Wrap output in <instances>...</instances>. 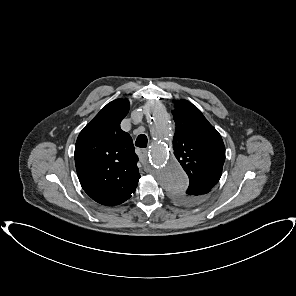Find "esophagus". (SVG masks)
<instances>
[{"instance_id": "esophagus-1", "label": "esophagus", "mask_w": 296, "mask_h": 296, "mask_svg": "<svg viewBox=\"0 0 296 296\" xmlns=\"http://www.w3.org/2000/svg\"><path fill=\"white\" fill-rule=\"evenodd\" d=\"M147 149H137V154L141 162H144L147 157Z\"/></svg>"}]
</instances>
